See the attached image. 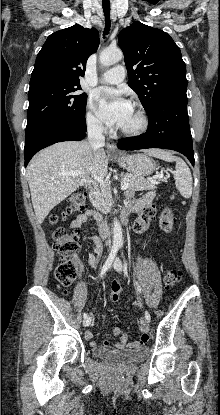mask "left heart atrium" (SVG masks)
Segmentation results:
<instances>
[{"label": "left heart atrium", "instance_id": "39dd6f15", "mask_svg": "<svg viewBox=\"0 0 220 415\" xmlns=\"http://www.w3.org/2000/svg\"><path fill=\"white\" fill-rule=\"evenodd\" d=\"M98 115L105 121L121 126L131 112L130 102L119 90L100 88L95 92Z\"/></svg>", "mask_w": 220, "mask_h": 415}]
</instances>
